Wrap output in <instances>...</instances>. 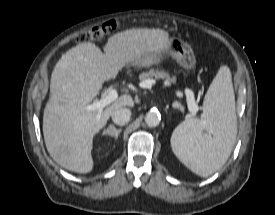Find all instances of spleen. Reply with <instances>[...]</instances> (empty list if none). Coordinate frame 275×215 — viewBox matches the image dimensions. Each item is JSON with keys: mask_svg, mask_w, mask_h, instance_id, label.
Here are the masks:
<instances>
[{"mask_svg": "<svg viewBox=\"0 0 275 215\" xmlns=\"http://www.w3.org/2000/svg\"><path fill=\"white\" fill-rule=\"evenodd\" d=\"M236 134L231 72L227 66H221L205 95L202 118L180 123L172 134L171 146L186 167L208 177L228 160Z\"/></svg>", "mask_w": 275, "mask_h": 215, "instance_id": "spleen-1", "label": "spleen"}]
</instances>
